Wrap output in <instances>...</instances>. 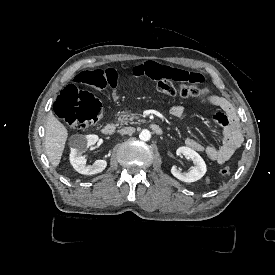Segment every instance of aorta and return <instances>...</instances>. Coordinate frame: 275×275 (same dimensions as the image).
I'll list each match as a JSON object with an SVG mask.
<instances>
[{
	"label": "aorta",
	"mask_w": 275,
	"mask_h": 275,
	"mask_svg": "<svg viewBox=\"0 0 275 275\" xmlns=\"http://www.w3.org/2000/svg\"><path fill=\"white\" fill-rule=\"evenodd\" d=\"M139 138H140V140H142V141H148V140H150V138H151V133H150V131L147 130V129H143V130L140 132V134H139Z\"/></svg>",
	"instance_id": "1"
}]
</instances>
